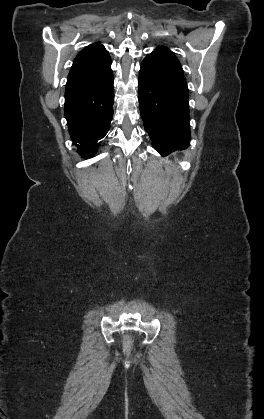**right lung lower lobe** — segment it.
<instances>
[{"label":"right lung lower lobe","instance_id":"1","mask_svg":"<svg viewBox=\"0 0 264 419\" xmlns=\"http://www.w3.org/2000/svg\"><path fill=\"white\" fill-rule=\"evenodd\" d=\"M112 71L94 84L66 87L65 117L77 152L92 157L110 129L113 117Z\"/></svg>","mask_w":264,"mask_h":419}]
</instances>
